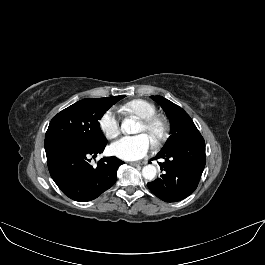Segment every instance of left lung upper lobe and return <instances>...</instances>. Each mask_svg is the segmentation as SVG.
<instances>
[{
	"label": "left lung upper lobe",
	"mask_w": 265,
	"mask_h": 265,
	"mask_svg": "<svg viewBox=\"0 0 265 265\" xmlns=\"http://www.w3.org/2000/svg\"><path fill=\"white\" fill-rule=\"evenodd\" d=\"M166 112L170 125L171 136L160 152H165L181 143L202 137L190 116L178 105L162 96H151Z\"/></svg>",
	"instance_id": "5c2ea615"
}]
</instances>
